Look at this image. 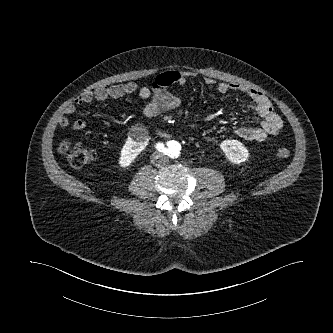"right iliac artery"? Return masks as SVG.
Masks as SVG:
<instances>
[{
  "label": "right iliac artery",
  "instance_id": "right-iliac-artery-1",
  "mask_svg": "<svg viewBox=\"0 0 333 333\" xmlns=\"http://www.w3.org/2000/svg\"><path fill=\"white\" fill-rule=\"evenodd\" d=\"M156 147L160 150V149L163 148V145L162 144H158Z\"/></svg>",
  "mask_w": 333,
  "mask_h": 333
}]
</instances>
